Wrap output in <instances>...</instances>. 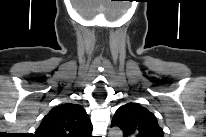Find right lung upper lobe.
<instances>
[{
	"label": "right lung upper lobe",
	"instance_id": "obj_1",
	"mask_svg": "<svg viewBox=\"0 0 206 137\" xmlns=\"http://www.w3.org/2000/svg\"><path fill=\"white\" fill-rule=\"evenodd\" d=\"M91 121L85 109L78 104L56 106L43 118L36 130L39 137H88Z\"/></svg>",
	"mask_w": 206,
	"mask_h": 137
}]
</instances>
